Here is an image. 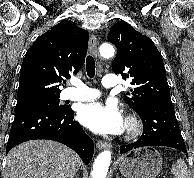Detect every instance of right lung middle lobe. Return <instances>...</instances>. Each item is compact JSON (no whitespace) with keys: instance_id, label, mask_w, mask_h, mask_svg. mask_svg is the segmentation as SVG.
Here are the masks:
<instances>
[{"instance_id":"dd1d6c3e","label":"right lung middle lobe","mask_w":194,"mask_h":178,"mask_svg":"<svg viewBox=\"0 0 194 178\" xmlns=\"http://www.w3.org/2000/svg\"><path fill=\"white\" fill-rule=\"evenodd\" d=\"M29 105L48 106L55 110H62L65 108L63 106H59V96L17 103L15 108Z\"/></svg>"}]
</instances>
